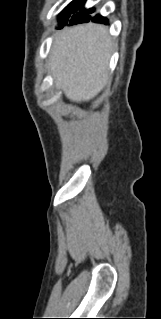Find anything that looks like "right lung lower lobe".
Returning a JSON list of instances; mask_svg holds the SVG:
<instances>
[{
  "label": "right lung lower lobe",
  "instance_id": "1",
  "mask_svg": "<svg viewBox=\"0 0 161 319\" xmlns=\"http://www.w3.org/2000/svg\"><path fill=\"white\" fill-rule=\"evenodd\" d=\"M89 20H92L93 22H97V23L107 24V19L101 15L90 16L89 19L86 18L84 21H81L80 23L88 22Z\"/></svg>",
  "mask_w": 161,
  "mask_h": 319
}]
</instances>
